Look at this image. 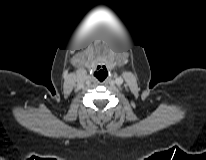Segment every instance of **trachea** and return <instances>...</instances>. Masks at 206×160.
<instances>
[{"label":"trachea","mask_w":206,"mask_h":160,"mask_svg":"<svg viewBox=\"0 0 206 160\" xmlns=\"http://www.w3.org/2000/svg\"><path fill=\"white\" fill-rule=\"evenodd\" d=\"M94 75L101 82L105 80V78L107 77V73L103 70H100L99 72H95Z\"/></svg>","instance_id":"trachea-1"}]
</instances>
